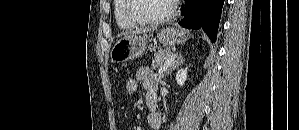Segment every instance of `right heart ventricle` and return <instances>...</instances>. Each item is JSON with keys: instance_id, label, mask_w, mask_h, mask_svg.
I'll return each mask as SVG.
<instances>
[{"instance_id": "1", "label": "right heart ventricle", "mask_w": 299, "mask_h": 130, "mask_svg": "<svg viewBox=\"0 0 299 130\" xmlns=\"http://www.w3.org/2000/svg\"><path fill=\"white\" fill-rule=\"evenodd\" d=\"M126 0L114 1V16L120 29L128 30L136 27V24L129 21L125 15Z\"/></svg>"}]
</instances>
